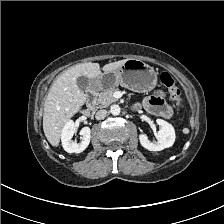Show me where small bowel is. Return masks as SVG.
Wrapping results in <instances>:
<instances>
[{
  "label": "small bowel",
  "instance_id": "c3829d8e",
  "mask_svg": "<svg viewBox=\"0 0 224 224\" xmlns=\"http://www.w3.org/2000/svg\"><path fill=\"white\" fill-rule=\"evenodd\" d=\"M143 106L151 113L162 117H170L172 114V109L165 103L161 92L145 99Z\"/></svg>",
  "mask_w": 224,
  "mask_h": 224
}]
</instances>
